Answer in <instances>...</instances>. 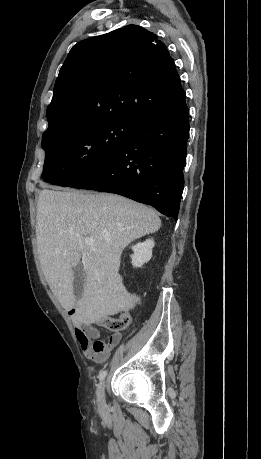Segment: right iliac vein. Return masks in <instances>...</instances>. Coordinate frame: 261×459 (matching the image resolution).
Segmentation results:
<instances>
[{
  "instance_id": "right-iliac-vein-1",
  "label": "right iliac vein",
  "mask_w": 261,
  "mask_h": 459,
  "mask_svg": "<svg viewBox=\"0 0 261 459\" xmlns=\"http://www.w3.org/2000/svg\"><path fill=\"white\" fill-rule=\"evenodd\" d=\"M97 402L99 407L102 409L105 406V382H101L96 391Z\"/></svg>"
}]
</instances>
